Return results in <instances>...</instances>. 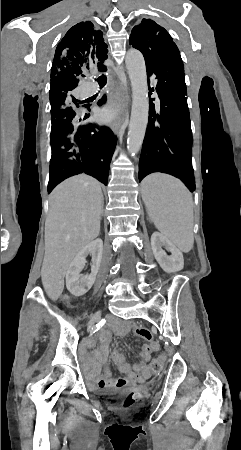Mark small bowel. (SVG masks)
I'll use <instances>...</instances> for the list:
<instances>
[{
	"label": "small bowel",
	"mask_w": 241,
	"mask_h": 450,
	"mask_svg": "<svg viewBox=\"0 0 241 450\" xmlns=\"http://www.w3.org/2000/svg\"><path fill=\"white\" fill-rule=\"evenodd\" d=\"M130 332L144 341L139 347V360L131 365L126 362L125 356L119 349H114L112 361L124 375L123 377H114L106 364L112 335L125 336ZM97 339L100 342V347L93 351L92 356H83L82 358L84 369L88 370V380L91 387L121 389L143 385L149 380L151 370L148 364L154 353L160 349V345L148 328L131 320L112 321L98 332ZM94 345L95 340L93 339H86L82 342L84 349L92 348ZM102 368H104V373H101Z\"/></svg>",
	"instance_id": "1"
}]
</instances>
